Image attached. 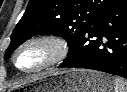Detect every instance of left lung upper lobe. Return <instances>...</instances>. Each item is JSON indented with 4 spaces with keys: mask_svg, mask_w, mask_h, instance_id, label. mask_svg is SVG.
<instances>
[{
    "mask_svg": "<svg viewBox=\"0 0 127 92\" xmlns=\"http://www.w3.org/2000/svg\"><path fill=\"white\" fill-rule=\"evenodd\" d=\"M123 0H30L11 35L8 56L28 38L39 34L63 37L69 51L102 15Z\"/></svg>",
    "mask_w": 127,
    "mask_h": 92,
    "instance_id": "left-lung-upper-lobe-1",
    "label": "left lung upper lobe"
}]
</instances>
